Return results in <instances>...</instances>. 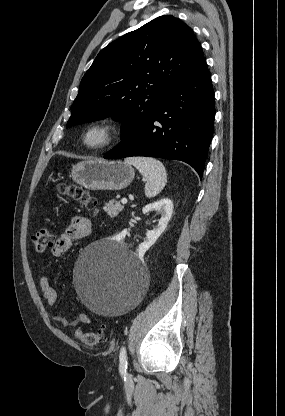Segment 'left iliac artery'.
I'll use <instances>...</instances> for the list:
<instances>
[{
  "label": "left iliac artery",
  "mask_w": 285,
  "mask_h": 416,
  "mask_svg": "<svg viewBox=\"0 0 285 416\" xmlns=\"http://www.w3.org/2000/svg\"><path fill=\"white\" fill-rule=\"evenodd\" d=\"M119 371L121 376L126 379V370H127V354H126V348L122 347L119 354Z\"/></svg>",
  "instance_id": "44dca946"
}]
</instances>
